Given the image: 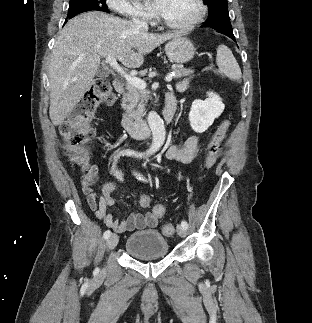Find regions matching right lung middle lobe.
Returning <instances> with one entry per match:
<instances>
[{
	"mask_svg": "<svg viewBox=\"0 0 312 323\" xmlns=\"http://www.w3.org/2000/svg\"><path fill=\"white\" fill-rule=\"evenodd\" d=\"M105 3L106 0H70L67 19L91 10L109 12Z\"/></svg>",
	"mask_w": 312,
	"mask_h": 323,
	"instance_id": "1",
	"label": "right lung middle lobe"
}]
</instances>
